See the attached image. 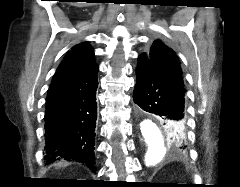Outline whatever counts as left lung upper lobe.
<instances>
[{"mask_svg":"<svg viewBox=\"0 0 240 187\" xmlns=\"http://www.w3.org/2000/svg\"><path fill=\"white\" fill-rule=\"evenodd\" d=\"M145 56L149 59L152 65L166 78L174 81L177 84L183 85V73L177 59L175 52L166 46L161 40L157 39L152 43L150 52L148 54H141L139 57ZM163 125L168 141L174 144L176 148H186V134H184L179 140H173L167 131V127L163 120H160ZM176 128L184 130L182 125L175 124Z\"/></svg>","mask_w":240,"mask_h":187,"instance_id":"obj_1","label":"left lung upper lobe"}]
</instances>
